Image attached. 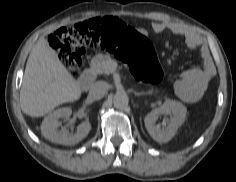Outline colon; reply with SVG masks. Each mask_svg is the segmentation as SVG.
<instances>
[{
  "mask_svg": "<svg viewBox=\"0 0 236 182\" xmlns=\"http://www.w3.org/2000/svg\"><path fill=\"white\" fill-rule=\"evenodd\" d=\"M49 43L73 75L78 74L87 50L101 47L124 60L143 82L157 83L162 77L151 42L118 18L94 19L73 27H61L51 34Z\"/></svg>",
  "mask_w": 236,
  "mask_h": 182,
  "instance_id": "1",
  "label": "colon"
}]
</instances>
